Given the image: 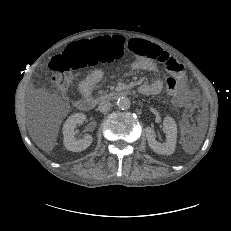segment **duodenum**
I'll return each instance as SVG.
<instances>
[{
	"instance_id": "410a0bca",
	"label": "duodenum",
	"mask_w": 231,
	"mask_h": 231,
	"mask_svg": "<svg viewBox=\"0 0 231 231\" xmlns=\"http://www.w3.org/2000/svg\"><path fill=\"white\" fill-rule=\"evenodd\" d=\"M129 93H130V89H125L121 91L109 92L99 97L85 96L77 101V107L83 111H91L99 101L102 100L115 101L123 96L128 95Z\"/></svg>"
}]
</instances>
